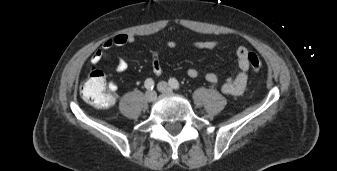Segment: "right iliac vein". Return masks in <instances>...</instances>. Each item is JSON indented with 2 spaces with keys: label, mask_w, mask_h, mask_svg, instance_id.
<instances>
[{
  "label": "right iliac vein",
  "mask_w": 337,
  "mask_h": 171,
  "mask_svg": "<svg viewBox=\"0 0 337 171\" xmlns=\"http://www.w3.org/2000/svg\"><path fill=\"white\" fill-rule=\"evenodd\" d=\"M157 95L155 91H148L145 94V98L149 102H153L156 99Z\"/></svg>",
  "instance_id": "right-iliac-vein-1"
}]
</instances>
